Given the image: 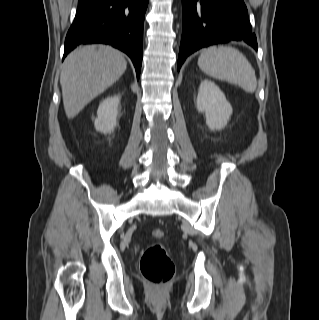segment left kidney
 I'll use <instances>...</instances> for the list:
<instances>
[{"label": "left kidney", "instance_id": "5707ae66", "mask_svg": "<svg viewBox=\"0 0 319 320\" xmlns=\"http://www.w3.org/2000/svg\"><path fill=\"white\" fill-rule=\"evenodd\" d=\"M196 107L198 112L205 113L206 124L213 131L223 129L233 112L220 88L207 79L200 83Z\"/></svg>", "mask_w": 319, "mask_h": 320}]
</instances>
